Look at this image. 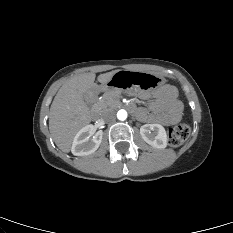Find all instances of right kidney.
Segmentation results:
<instances>
[{
    "mask_svg": "<svg viewBox=\"0 0 233 233\" xmlns=\"http://www.w3.org/2000/svg\"><path fill=\"white\" fill-rule=\"evenodd\" d=\"M93 126L87 125L80 129L75 135L71 152L75 156H84L94 153L100 146L103 132L99 131L93 135ZM93 135L92 138H90Z\"/></svg>",
    "mask_w": 233,
    "mask_h": 233,
    "instance_id": "1",
    "label": "right kidney"
}]
</instances>
